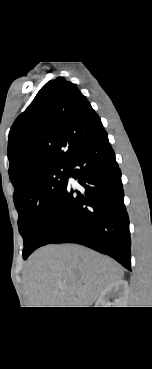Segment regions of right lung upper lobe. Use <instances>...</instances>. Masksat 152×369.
<instances>
[{
	"label": "right lung upper lobe",
	"mask_w": 152,
	"mask_h": 369,
	"mask_svg": "<svg viewBox=\"0 0 152 369\" xmlns=\"http://www.w3.org/2000/svg\"><path fill=\"white\" fill-rule=\"evenodd\" d=\"M104 129L77 87L63 77L47 82L9 132V177L19 194L38 173L68 164Z\"/></svg>",
	"instance_id": "1"
}]
</instances>
